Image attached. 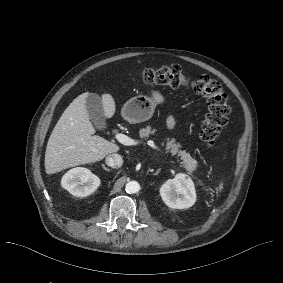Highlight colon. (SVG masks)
Masks as SVG:
<instances>
[{"label":"colon","mask_w":283,"mask_h":283,"mask_svg":"<svg viewBox=\"0 0 283 283\" xmlns=\"http://www.w3.org/2000/svg\"><path fill=\"white\" fill-rule=\"evenodd\" d=\"M138 79L149 85L190 87L204 97L207 108L200 123V138L209 147L216 144L230 113L228 94L217 80L209 75L189 80L177 65L145 69L139 73Z\"/></svg>","instance_id":"colon-1"}]
</instances>
